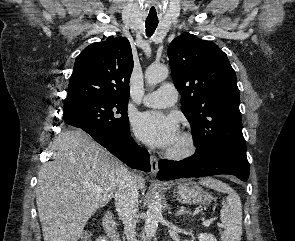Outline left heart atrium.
I'll use <instances>...</instances> for the list:
<instances>
[{"label": "left heart atrium", "mask_w": 295, "mask_h": 241, "mask_svg": "<svg viewBox=\"0 0 295 241\" xmlns=\"http://www.w3.org/2000/svg\"><path fill=\"white\" fill-rule=\"evenodd\" d=\"M133 129L138 138L152 147L171 148L179 138L176 120L156 111L137 114Z\"/></svg>", "instance_id": "39dd6f15"}]
</instances>
